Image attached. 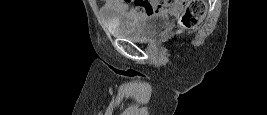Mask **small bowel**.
Returning <instances> with one entry per match:
<instances>
[{
  "mask_svg": "<svg viewBox=\"0 0 267 115\" xmlns=\"http://www.w3.org/2000/svg\"><path fill=\"white\" fill-rule=\"evenodd\" d=\"M153 8L152 13H167L171 15H179L184 9V2L182 1H174L164 4H146ZM106 8H118L121 10L125 9V6L122 5L119 1L116 0H108L105 5ZM130 18H135L137 16L136 12L128 13Z\"/></svg>",
  "mask_w": 267,
  "mask_h": 115,
  "instance_id": "c3829d8e",
  "label": "small bowel"
}]
</instances>
